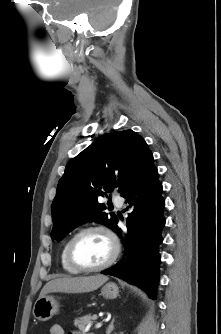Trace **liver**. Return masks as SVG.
Here are the masks:
<instances>
[{
  "label": "liver",
  "instance_id": "1",
  "mask_svg": "<svg viewBox=\"0 0 221 334\" xmlns=\"http://www.w3.org/2000/svg\"><path fill=\"white\" fill-rule=\"evenodd\" d=\"M108 280L107 276L94 275L88 277H64L46 283L39 298L51 292L81 293L98 289Z\"/></svg>",
  "mask_w": 221,
  "mask_h": 334
}]
</instances>
